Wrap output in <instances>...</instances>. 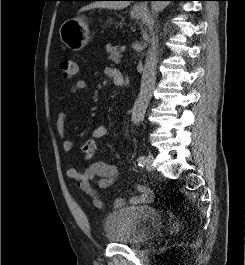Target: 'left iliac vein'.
I'll list each match as a JSON object with an SVG mask.
<instances>
[{"label":"left iliac vein","mask_w":245,"mask_h":265,"mask_svg":"<svg viewBox=\"0 0 245 265\" xmlns=\"http://www.w3.org/2000/svg\"><path fill=\"white\" fill-rule=\"evenodd\" d=\"M153 155L149 154L147 155L145 159V167L148 171H153L154 170V165H153Z\"/></svg>","instance_id":"1"}]
</instances>
